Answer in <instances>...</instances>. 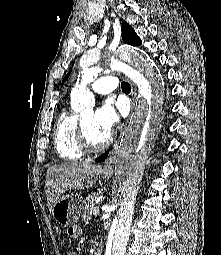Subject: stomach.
Masks as SVG:
<instances>
[{"instance_id":"stomach-1","label":"stomach","mask_w":221,"mask_h":255,"mask_svg":"<svg viewBox=\"0 0 221 255\" xmlns=\"http://www.w3.org/2000/svg\"><path fill=\"white\" fill-rule=\"evenodd\" d=\"M107 178L110 175H106ZM83 210V199L77 194H68L60 197L52 207L54 220L63 227L75 225Z\"/></svg>"}]
</instances>
